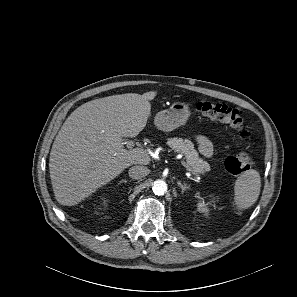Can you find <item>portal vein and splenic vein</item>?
<instances>
[{"label":"portal vein and splenic vein","mask_w":297,"mask_h":297,"mask_svg":"<svg viewBox=\"0 0 297 297\" xmlns=\"http://www.w3.org/2000/svg\"><path fill=\"white\" fill-rule=\"evenodd\" d=\"M123 145H126L127 148H132L133 147V142L131 141H126V142H123L122 143ZM181 164L186 168V170L190 173H192L193 175H196L197 176V173L194 172L190 166L184 161V160H181Z\"/></svg>","instance_id":"portal-vein-and-splenic-vein-1"}]
</instances>
